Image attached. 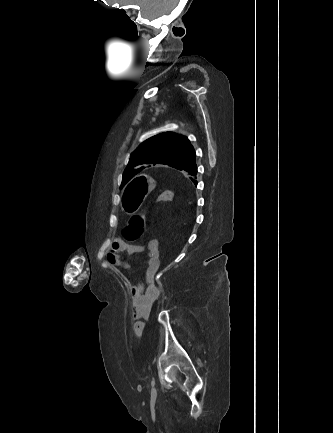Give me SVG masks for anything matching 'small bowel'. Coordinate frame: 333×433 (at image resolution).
Instances as JSON below:
<instances>
[{
	"instance_id": "small-bowel-1",
	"label": "small bowel",
	"mask_w": 333,
	"mask_h": 433,
	"mask_svg": "<svg viewBox=\"0 0 333 433\" xmlns=\"http://www.w3.org/2000/svg\"><path fill=\"white\" fill-rule=\"evenodd\" d=\"M160 243L157 239L149 242L148 253L146 255V273L154 275L160 267ZM143 251L139 245H125L113 243L109 248L107 260L116 267L127 268L128 263L122 259L121 254H137ZM162 288L157 283H151L144 288L133 286L130 289L131 297V317L135 321L133 330L136 335H141L144 330V320L148 319L152 313L155 303L160 298Z\"/></svg>"
}]
</instances>
